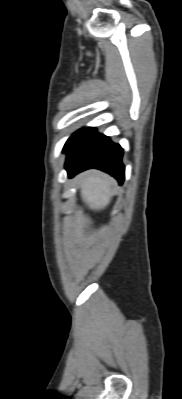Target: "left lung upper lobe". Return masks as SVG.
Masks as SVG:
<instances>
[{
  "mask_svg": "<svg viewBox=\"0 0 182 399\" xmlns=\"http://www.w3.org/2000/svg\"><path fill=\"white\" fill-rule=\"evenodd\" d=\"M69 139H70V138H69ZM69 139H68L67 142L65 143L63 150H64L65 147L67 146V144H68V142H69Z\"/></svg>",
  "mask_w": 182,
  "mask_h": 399,
  "instance_id": "1",
  "label": "left lung upper lobe"
}]
</instances>
